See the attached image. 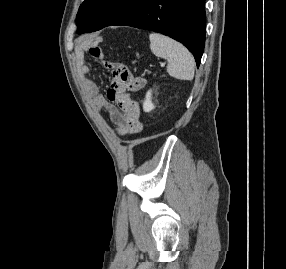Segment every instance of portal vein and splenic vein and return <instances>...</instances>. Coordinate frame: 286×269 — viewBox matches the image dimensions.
I'll use <instances>...</instances> for the list:
<instances>
[{
	"mask_svg": "<svg viewBox=\"0 0 286 269\" xmlns=\"http://www.w3.org/2000/svg\"><path fill=\"white\" fill-rule=\"evenodd\" d=\"M165 66V63H161V67H164Z\"/></svg>",
	"mask_w": 286,
	"mask_h": 269,
	"instance_id": "portal-vein-and-splenic-vein-1",
	"label": "portal vein and splenic vein"
}]
</instances>
